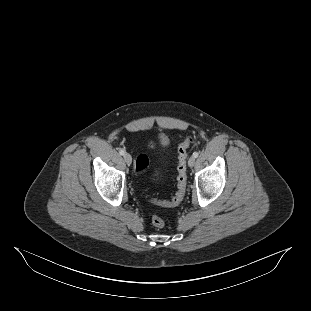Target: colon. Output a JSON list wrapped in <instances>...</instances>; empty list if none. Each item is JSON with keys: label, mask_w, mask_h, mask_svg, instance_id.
<instances>
[{"label": "colon", "mask_w": 311, "mask_h": 311, "mask_svg": "<svg viewBox=\"0 0 311 311\" xmlns=\"http://www.w3.org/2000/svg\"><path fill=\"white\" fill-rule=\"evenodd\" d=\"M195 141L193 136H187L184 141L179 145L178 148V177H177V191L173 198L170 200H159L156 198L148 197L151 203H154L163 207H173L178 205L185 194L186 191V159H187V149ZM148 158L146 155H139L136 159V172L142 173L148 166ZM152 224L157 228H163L165 226V221L157 215L152 217Z\"/></svg>", "instance_id": "1"}]
</instances>
